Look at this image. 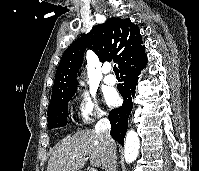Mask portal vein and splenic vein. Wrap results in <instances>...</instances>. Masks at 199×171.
<instances>
[{
    "label": "portal vein and splenic vein",
    "instance_id": "18ae733b",
    "mask_svg": "<svg viewBox=\"0 0 199 171\" xmlns=\"http://www.w3.org/2000/svg\"><path fill=\"white\" fill-rule=\"evenodd\" d=\"M90 171H97V169L96 168H92V169H90Z\"/></svg>",
    "mask_w": 199,
    "mask_h": 171
}]
</instances>
